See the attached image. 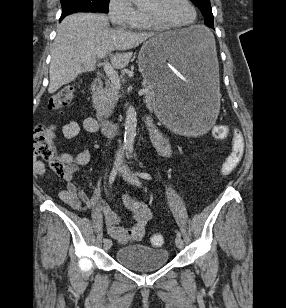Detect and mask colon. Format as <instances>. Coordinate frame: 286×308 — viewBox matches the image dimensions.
Wrapping results in <instances>:
<instances>
[{"instance_id":"5ec220e1","label":"colon","mask_w":286,"mask_h":308,"mask_svg":"<svg viewBox=\"0 0 286 308\" xmlns=\"http://www.w3.org/2000/svg\"><path fill=\"white\" fill-rule=\"evenodd\" d=\"M76 94V88L73 85H67L58 90L49 100L48 108L58 111L67 108L73 101ZM231 128L228 126H216L213 129V135L217 139H226L230 134ZM34 146L36 154L46 160L51 170L60 177H65L67 167L65 162L59 157L55 144L48 130L39 125L34 131ZM244 154V144L241 139L232 140V148L226 157L221 172L224 176H228L239 166ZM151 245L160 247L164 243L161 234H153L150 237Z\"/></svg>"}]
</instances>
